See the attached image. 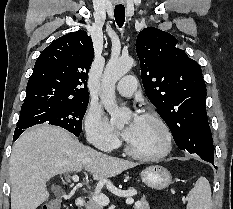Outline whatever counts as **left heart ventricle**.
Instances as JSON below:
<instances>
[{
  "label": "left heart ventricle",
  "mask_w": 233,
  "mask_h": 209,
  "mask_svg": "<svg viewBox=\"0 0 233 209\" xmlns=\"http://www.w3.org/2000/svg\"><path fill=\"white\" fill-rule=\"evenodd\" d=\"M127 142L139 153L153 154L163 148L164 134L155 121L140 117Z\"/></svg>",
  "instance_id": "b2bd125f"
}]
</instances>
